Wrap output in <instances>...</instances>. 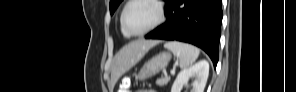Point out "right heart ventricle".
Instances as JSON below:
<instances>
[{
	"label": "right heart ventricle",
	"mask_w": 296,
	"mask_h": 92,
	"mask_svg": "<svg viewBox=\"0 0 296 92\" xmlns=\"http://www.w3.org/2000/svg\"><path fill=\"white\" fill-rule=\"evenodd\" d=\"M121 28H122V27H121ZM122 32H123L124 36H126V37L129 36V35H127V34L123 31V29H122Z\"/></svg>",
	"instance_id": "right-heart-ventricle-1"
}]
</instances>
